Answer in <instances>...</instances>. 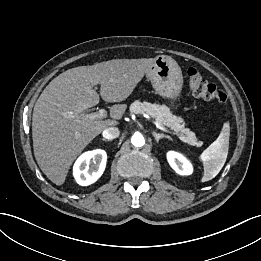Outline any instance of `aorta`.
Returning <instances> with one entry per match:
<instances>
[{
	"label": "aorta",
	"instance_id": "aorta-1",
	"mask_svg": "<svg viewBox=\"0 0 261 261\" xmlns=\"http://www.w3.org/2000/svg\"><path fill=\"white\" fill-rule=\"evenodd\" d=\"M131 143L135 147H142L145 144V139L140 133H135L131 138Z\"/></svg>",
	"mask_w": 261,
	"mask_h": 261
}]
</instances>
